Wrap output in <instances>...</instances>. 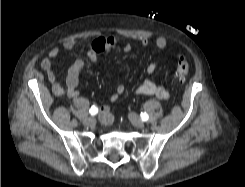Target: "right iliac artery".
<instances>
[{"instance_id":"obj_1","label":"right iliac artery","mask_w":245,"mask_h":187,"mask_svg":"<svg viewBox=\"0 0 245 187\" xmlns=\"http://www.w3.org/2000/svg\"><path fill=\"white\" fill-rule=\"evenodd\" d=\"M89 112H90L91 115H95V114L98 113V108L95 107V106H92V107L90 108Z\"/></svg>"}]
</instances>
